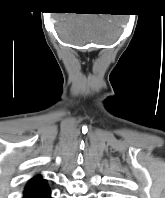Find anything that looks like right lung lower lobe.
I'll return each instance as SVG.
<instances>
[{
    "mask_svg": "<svg viewBox=\"0 0 165 198\" xmlns=\"http://www.w3.org/2000/svg\"><path fill=\"white\" fill-rule=\"evenodd\" d=\"M23 198H51L48 185L36 191L24 194Z\"/></svg>",
    "mask_w": 165,
    "mask_h": 198,
    "instance_id": "98d812e1",
    "label": "right lung lower lobe"
}]
</instances>
